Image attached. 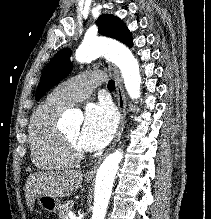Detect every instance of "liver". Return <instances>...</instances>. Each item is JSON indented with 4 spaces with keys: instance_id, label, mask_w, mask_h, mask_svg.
I'll use <instances>...</instances> for the list:
<instances>
[{
    "instance_id": "1",
    "label": "liver",
    "mask_w": 211,
    "mask_h": 219,
    "mask_svg": "<svg viewBox=\"0 0 211 219\" xmlns=\"http://www.w3.org/2000/svg\"><path fill=\"white\" fill-rule=\"evenodd\" d=\"M83 173L80 170L39 172L30 174L26 182V201L32 210L39 195L66 197L72 195L81 186Z\"/></svg>"
}]
</instances>
